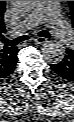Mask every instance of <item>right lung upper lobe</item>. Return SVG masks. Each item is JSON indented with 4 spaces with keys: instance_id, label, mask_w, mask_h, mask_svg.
<instances>
[{
    "instance_id": "1",
    "label": "right lung upper lobe",
    "mask_w": 74,
    "mask_h": 122,
    "mask_svg": "<svg viewBox=\"0 0 74 122\" xmlns=\"http://www.w3.org/2000/svg\"><path fill=\"white\" fill-rule=\"evenodd\" d=\"M4 11L5 1H0V74L10 69L19 51L16 47L2 46L1 44L3 38L1 33L5 32Z\"/></svg>"
}]
</instances>
